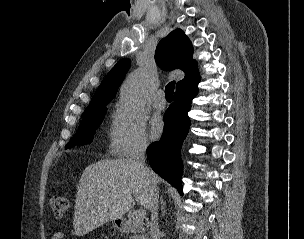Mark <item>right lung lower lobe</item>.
<instances>
[{
    "label": "right lung lower lobe",
    "mask_w": 304,
    "mask_h": 239,
    "mask_svg": "<svg viewBox=\"0 0 304 239\" xmlns=\"http://www.w3.org/2000/svg\"><path fill=\"white\" fill-rule=\"evenodd\" d=\"M200 76L191 79L176 89L174 103L164 115V131L158 142L147 148L151 168L182 194V162L180 149L188 133L190 120L188 111L192 99L198 93Z\"/></svg>",
    "instance_id": "obj_1"
}]
</instances>
